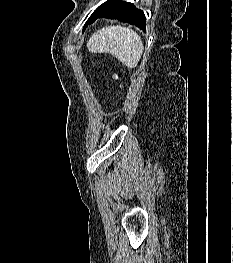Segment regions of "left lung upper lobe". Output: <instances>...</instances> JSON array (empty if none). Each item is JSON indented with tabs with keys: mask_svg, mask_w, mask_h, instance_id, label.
Instances as JSON below:
<instances>
[{
	"mask_svg": "<svg viewBox=\"0 0 233 263\" xmlns=\"http://www.w3.org/2000/svg\"><path fill=\"white\" fill-rule=\"evenodd\" d=\"M115 1H116V0H108V1H106L105 3H103L102 5H100V6L93 12L92 15H94V14L100 12V11L105 10L108 6H110V5H112L113 3H115ZM87 23H88V21L86 22V25H85L84 29L86 28Z\"/></svg>",
	"mask_w": 233,
	"mask_h": 263,
	"instance_id": "5c2ea615",
	"label": "left lung upper lobe"
}]
</instances>
